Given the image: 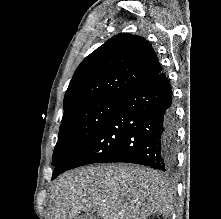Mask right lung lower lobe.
Listing matches in <instances>:
<instances>
[{
  "label": "right lung lower lobe",
  "instance_id": "right-lung-lower-lobe-1",
  "mask_svg": "<svg viewBox=\"0 0 221 219\" xmlns=\"http://www.w3.org/2000/svg\"><path fill=\"white\" fill-rule=\"evenodd\" d=\"M176 119L169 80L159 73L127 93L100 129L58 163L52 179L82 165L129 162L168 171L176 162Z\"/></svg>",
  "mask_w": 221,
  "mask_h": 219
}]
</instances>
